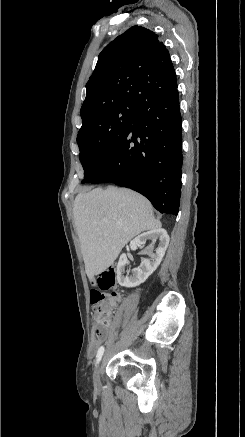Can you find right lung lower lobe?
I'll return each mask as SVG.
<instances>
[{
	"label": "right lung lower lobe",
	"instance_id": "98d812e1",
	"mask_svg": "<svg viewBox=\"0 0 245 437\" xmlns=\"http://www.w3.org/2000/svg\"><path fill=\"white\" fill-rule=\"evenodd\" d=\"M182 120L177 88L140 101L110 155L85 182H111L147 197L177 216L181 196Z\"/></svg>",
	"mask_w": 245,
	"mask_h": 437
}]
</instances>
